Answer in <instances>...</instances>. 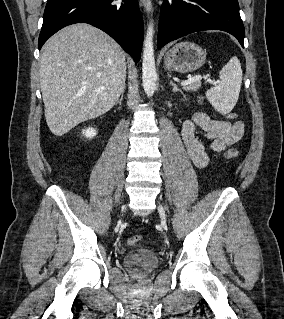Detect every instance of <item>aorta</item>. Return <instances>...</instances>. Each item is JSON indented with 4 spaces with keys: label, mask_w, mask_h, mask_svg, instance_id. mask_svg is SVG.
I'll list each match as a JSON object with an SVG mask.
<instances>
[{
    "label": "aorta",
    "mask_w": 284,
    "mask_h": 319,
    "mask_svg": "<svg viewBox=\"0 0 284 319\" xmlns=\"http://www.w3.org/2000/svg\"><path fill=\"white\" fill-rule=\"evenodd\" d=\"M154 25H148L147 33L143 44L142 58V82L144 92L148 97H152L156 90L157 73L155 67L154 44H153Z\"/></svg>",
    "instance_id": "762f6f07"
}]
</instances>
